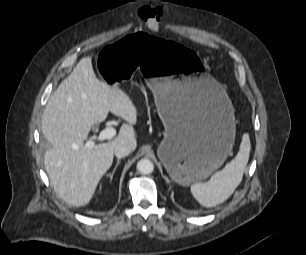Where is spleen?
Returning a JSON list of instances; mask_svg holds the SVG:
<instances>
[{"label":"spleen","instance_id":"obj_1","mask_svg":"<svg viewBox=\"0 0 306 255\" xmlns=\"http://www.w3.org/2000/svg\"><path fill=\"white\" fill-rule=\"evenodd\" d=\"M251 149L249 135L243 134L237 156L225 167L214 173L205 183L191 186L194 198L205 207H214L226 201L242 181L243 173L249 160Z\"/></svg>","mask_w":306,"mask_h":255}]
</instances>
